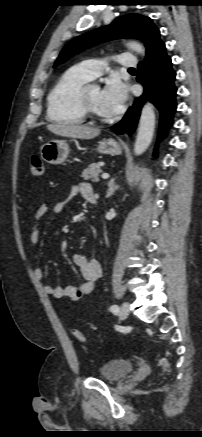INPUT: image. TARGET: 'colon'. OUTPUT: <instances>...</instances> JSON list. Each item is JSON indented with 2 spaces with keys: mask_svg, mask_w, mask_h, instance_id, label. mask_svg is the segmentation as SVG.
Here are the masks:
<instances>
[{
  "mask_svg": "<svg viewBox=\"0 0 202 437\" xmlns=\"http://www.w3.org/2000/svg\"><path fill=\"white\" fill-rule=\"evenodd\" d=\"M30 172L35 177H41L44 174V163H43L42 159L37 155H34L31 158ZM71 332L77 341H79V342L85 341V336L83 335V333L80 330L72 329ZM158 365L161 367V369L163 371L168 370L169 363H168V360L166 358H164V357L159 358Z\"/></svg>",
  "mask_w": 202,
  "mask_h": 437,
  "instance_id": "colon-1",
  "label": "colon"
}]
</instances>
